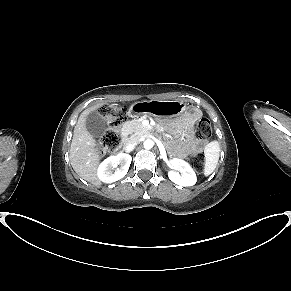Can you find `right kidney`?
Listing matches in <instances>:
<instances>
[{
    "instance_id": "obj_1",
    "label": "right kidney",
    "mask_w": 291,
    "mask_h": 291,
    "mask_svg": "<svg viewBox=\"0 0 291 291\" xmlns=\"http://www.w3.org/2000/svg\"><path fill=\"white\" fill-rule=\"evenodd\" d=\"M132 157L129 154L119 153L105 159L97 169L98 178L104 183H112L123 178L129 169ZM119 166L115 172L113 168Z\"/></svg>"
}]
</instances>
